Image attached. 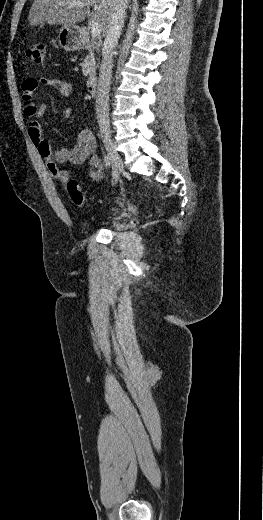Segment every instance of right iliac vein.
<instances>
[{
	"mask_svg": "<svg viewBox=\"0 0 263 520\" xmlns=\"http://www.w3.org/2000/svg\"><path fill=\"white\" fill-rule=\"evenodd\" d=\"M102 139L104 142V146L107 150V153L111 159L112 166H113V180L114 183H116L119 179L120 173L124 169V164L122 162V159L119 155V153L116 151L114 144L112 142L111 136L107 131H104L102 134Z\"/></svg>",
	"mask_w": 263,
	"mask_h": 520,
	"instance_id": "63e3f726",
	"label": "right iliac vein"
}]
</instances>
